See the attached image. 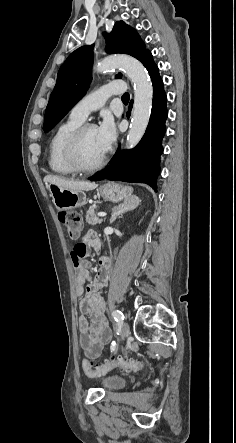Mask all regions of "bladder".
<instances>
[{"mask_svg": "<svg viewBox=\"0 0 236 443\" xmlns=\"http://www.w3.org/2000/svg\"><path fill=\"white\" fill-rule=\"evenodd\" d=\"M101 382L105 388L118 390L127 384V379L116 374H106L101 377Z\"/></svg>", "mask_w": 236, "mask_h": 443, "instance_id": "obj_1", "label": "bladder"}]
</instances>
